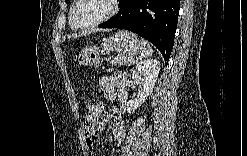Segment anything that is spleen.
<instances>
[{
  "label": "spleen",
  "mask_w": 247,
  "mask_h": 156,
  "mask_svg": "<svg viewBox=\"0 0 247 156\" xmlns=\"http://www.w3.org/2000/svg\"><path fill=\"white\" fill-rule=\"evenodd\" d=\"M141 44V57L143 58H147L150 57L153 53V49L150 46V44L148 43V41L141 39L140 41Z\"/></svg>",
  "instance_id": "1"
}]
</instances>
